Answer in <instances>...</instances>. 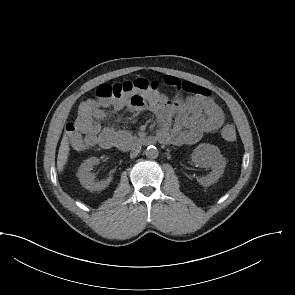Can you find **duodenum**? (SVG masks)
I'll list each match as a JSON object with an SVG mask.
<instances>
[{
	"mask_svg": "<svg viewBox=\"0 0 295 295\" xmlns=\"http://www.w3.org/2000/svg\"><path fill=\"white\" fill-rule=\"evenodd\" d=\"M154 143H162V144H168V140L163 137H136L131 136L128 134H123L120 136L113 144V146H119L127 149L135 148V147H143V146H149Z\"/></svg>",
	"mask_w": 295,
	"mask_h": 295,
	"instance_id": "1",
	"label": "duodenum"
}]
</instances>
